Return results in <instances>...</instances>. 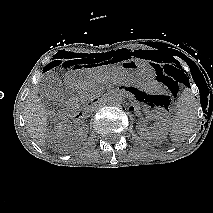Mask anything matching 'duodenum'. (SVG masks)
<instances>
[{
    "mask_svg": "<svg viewBox=\"0 0 213 213\" xmlns=\"http://www.w3.org/2000/svg\"><path fill=\"white\" fill-rule=\"evenodd\" d=\"M100 99H95L92 103H95V102H97V101H99ZM82 115H83V111H77L75 114H74V118L75 119H79V118H81L82 117Z\"/></svg>",
    "mask_w": 213,
    "mask_h": 213,
    "instance_id": "duodenum-1",
    "label": "duodenum"
}]
</instances>
